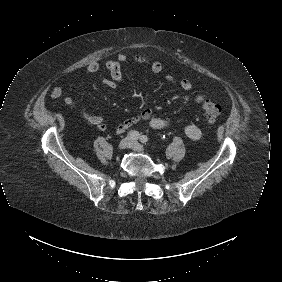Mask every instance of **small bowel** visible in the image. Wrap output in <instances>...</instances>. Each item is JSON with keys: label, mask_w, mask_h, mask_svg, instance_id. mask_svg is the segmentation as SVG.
Returning <instances> with one entry per match:
<instances>
[{"label": "small bowel", "mask_w": 282, "mask_h": 282, "mask_svg": "<svg viewBox=\"0 0 282 282\" xmlns=\"http://www.w3.org/2000/svg\"><path fill=\"white\" fill-rule=\"evenodd\" d=\"M128 61L147 65L153 73H160L163 70V65L161 62L157 60H151L142 53H135L131 56L121 53L115 59L107 63L106 69L111 75V79L104 80L102 85L109 88L123 86L125 84V79L121 73V68ZM98 70L99 64L95 61L90 62L86 66V72L89 74L96 73ZM164 78L167 82L177 84L185 92H191L193 89L192 83L188 79H176L169 75H166ZM62 94L63 87L56 85L52 88L50 96L56 99L61 97ZM194 99L196 103L202 104L205 101V95L202 93H197L194 95ZM64 103L68 107L79 108L82 112L84 120L97 129H107L108 125L105 122V117L103 114H92L85 106L81 105L77 100L69 96L64 98ZM140 123H146L150 128L155 130L179 128L188 138L194 141H198L202 138V131L196 125L184 124L171 118L156 116L150 108L144 109L139 114H136L118 123L115 128V133L122 134L131 127Z\"/></svg>", "instance_id": "1"}]
</instances>
